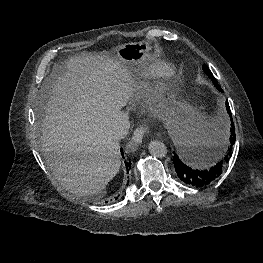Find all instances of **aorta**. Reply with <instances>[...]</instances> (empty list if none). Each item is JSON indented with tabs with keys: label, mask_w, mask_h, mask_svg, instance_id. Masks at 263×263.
<instances>
[{
	"label": "aorta",
	"mask_w": 263,
	"mask_h": 263,
	"mask_svg": "<svg viewBox=\"0 0 263 263\" xmlns=\"http://www.w3.org/2000/svg\"><path fill=\"white\" fill-rule=\"evenodd\" d=\"M149 152L152 156L162 158L167 155V147L161 141H151L148 146Z\"/></svg>",
	"instance_id": "aorta-1"
}]
</instances>
